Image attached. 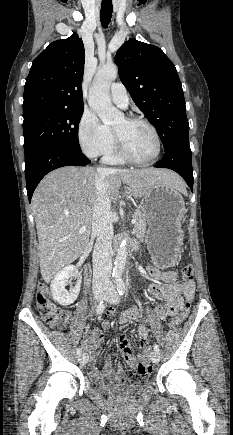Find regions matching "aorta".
I'll list each match as a JSON object with an SVG mask.
<instances>
[{"instance_id":"762f6f07","label":"aorta","mask_w":233,"mask_h":435,"mask_svg":"<svg viewBox=\"0 0 233 435\" xmlns=\"http://www.w3.org/2000/svg\"><path fill=\"white\" fill-rule=\"evenodd\" d=\"M117 76L118 68L115 64L104 65L98 69L92 85L89 88V106L106 125H114L124 119V114L112 105L109 98L110 85ZM126 258V242L122 240L117 251L113 268V277L116 281L122 279Z\"/></svg>"}]
</instances>
